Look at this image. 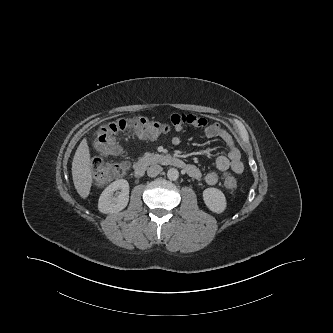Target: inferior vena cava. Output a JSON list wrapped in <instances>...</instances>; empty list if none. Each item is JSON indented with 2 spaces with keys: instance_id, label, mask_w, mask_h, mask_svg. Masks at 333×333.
<instances>
[{
  "instance_id": "obj_1",
  "label": "inferior vena cava",
  "mask_w": 333,
  "mask_h": 333,
  "mask_svg": "<svg viewBox=\"0 0 333 333\" xmlns=\"http://www.w3.org/2000/svg\"><path fill=\"white\" fill-rule=\"evenodd\" d=\"M163 168L160 165L154 164L148 167L147 175L149 177H156L158 174L162 172Z\"/></svg>"
}]
</instances>
